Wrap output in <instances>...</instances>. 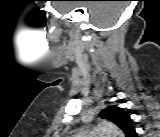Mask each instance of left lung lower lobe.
<instances>
[{"mask_svg": "<svg viewBox=\"0 0 160 137\" xmlns=\"http://www.w3.org/2000/svg\"><path fill=\"white\" fill-rule=\"evenodd\" d=\"M128 136H130V137H136V132H135V130L131 131V132L128 134Z\"/></svg>", "mask_w": 160, "mask_h": 137, "instance_id": "1", "label": "left lung lower lobe"}]
</instances>
